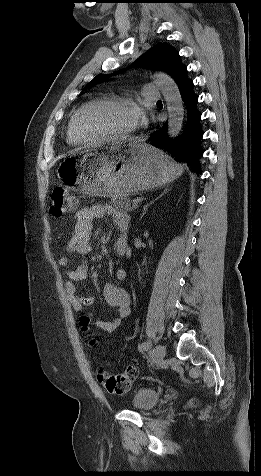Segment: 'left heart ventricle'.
<instances>
[{"label": "left heart ventricle", "mask_w": 261, "mask_h": 476, "mask_svg": "<svg viewBox=\"0 0 261 476\" xmlns=\"http://www.w3.org/2000/svg\"><path fill=\"white\" fill-rule=\"evenodd\" d=\"M137 122L134 109L118 105H96L87 109L80 117L81 131L90 137L120 134Z\"/></svg>", "instance_id": "1"}]
</instances>
